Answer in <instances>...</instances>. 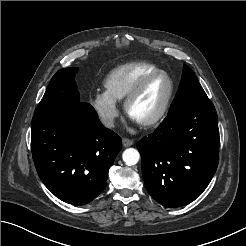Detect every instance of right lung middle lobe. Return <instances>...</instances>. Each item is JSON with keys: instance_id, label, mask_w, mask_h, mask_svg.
Segmentation results:
<instances>
[{"instance_id": "1", "label": "right lung middle lobe", "mask_w": 246, "mask_h": 246, "mask_svg": "<svg viewBox=\"0 0 246 246\" xmlns=\"http://www.w3.org/2000/svg\"><path fill=\"white\" fill-rule=\"evenodd\" d=\"M77 68H64L52 77L34 117L58 116L80 102L74 76ZM33 117V118H34Z\"/></svg>"}]
</instances>
